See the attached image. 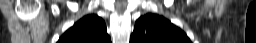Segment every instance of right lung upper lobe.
<instances>
[{
  "label": "right lung upper lobe",
  "mask_w": 256,
  "mask_h": 43,
  "mask_svg": "<svg viewBox=\"0 0 256 43\" xmlns=\"http://www.w3.org/2000/svg\"><path fill=\"white\" fill-rule=\"evenodd\" d=\"M57 43H111V39L103 19L93 14L75 23Z\"/></svg>",
  "instance_id": "obj_1"
}]
</instances>
